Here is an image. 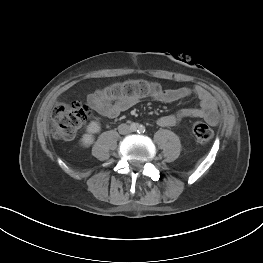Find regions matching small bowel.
<instances>
[{
	"label": "small bowel",
	"instance_id": "c3829d8e",
	"mask_svg": "<svg viewBox=\"0 0 263 263\" xmlns=\"http://www.w3.org/2000/svg\"><path fill=\"white\" fill-rule=\"evenodd\" d=\"M194 95L199 100V107L182 109L174 114L163 115L157 119V124L161 127H171L178 124L185 118H202L211 125L218 123L219 115L217 105L213 96L202 86L180 87L163 90L155 99L171 103L177 100ZM92 108L100 115L108 118H116L122 112L135 105L137 98L123 97L113 99L103 91L91 93L87 97Z\"/></svg>",
	"mask_w": 263,
	"mask_h": 263
}]
</instances>
